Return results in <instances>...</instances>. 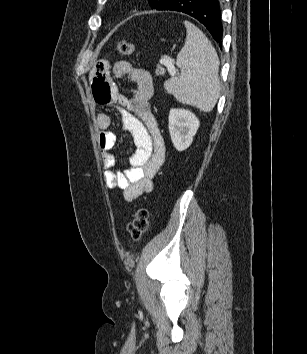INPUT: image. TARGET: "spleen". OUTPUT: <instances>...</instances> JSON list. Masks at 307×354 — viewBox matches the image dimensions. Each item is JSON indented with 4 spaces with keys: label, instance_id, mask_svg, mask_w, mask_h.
<instances>
[{
    "label": "spleen",
    "instance_id": "obj_1",
    "mask_svg": "<svg viewBox=\"0 0 307 354\" xmlns=\"http://www.w3.org/2000/svg\"><path fill=\"white\" fill-rule=\"evenodd\" d=\"M184 24L186 40L176 59L181 75L166 81L164 87L177 101L210 112L220 93L219 58L200 29L188 21Z\"/></svg>",
    "mask_w": 307,
    "mask_h": 354
}]
</instances>
